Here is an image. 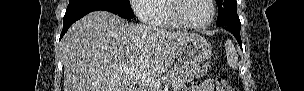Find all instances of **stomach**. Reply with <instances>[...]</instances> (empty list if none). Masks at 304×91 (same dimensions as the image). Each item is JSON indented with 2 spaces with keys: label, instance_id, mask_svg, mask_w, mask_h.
Listing matches in <instances>:
<instances>
[{
  "label": "stomach",
  "instance_id": "obj_1",
  "mask_svg": "<svg viewBox=\"0 0 304 91\" xmlns=\"http://www.w3.org/2000/svg\"><path fill=\"white\" fill-rule=\"evenodd\" d=\"M212 47L201 36L192 38L185 42L177 51L176 58L181 64L197 68L211 58Z\"/></svg>",
  "mask_w": 304,
  "mask_h": 91
}]
</instances>
